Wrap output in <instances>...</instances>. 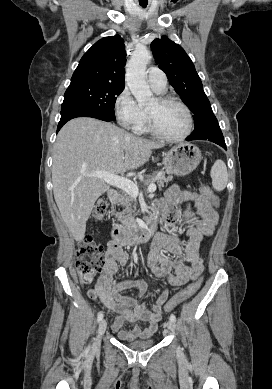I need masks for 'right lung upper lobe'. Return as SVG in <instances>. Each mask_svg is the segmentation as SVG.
Segmentation results:
<instances>
[{"mask_svg":"<svg viewBox=\"0 0 272 389\" xmlns=\"http://www.w3.org/2000/svg\"><path fill=\"white\" fill-rule=\"evenodd\" d=\"M125 62L124 40L119 35L104 37L83 55L70 84L96 82L125 87Z\"/></svg>","mask_w":272,"mask_h":389,"instance_id":"obj_1","label":"right lung upper lobe"}]
</instances>
